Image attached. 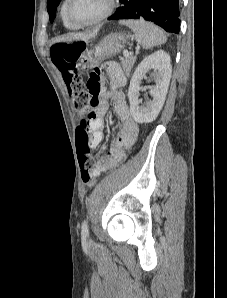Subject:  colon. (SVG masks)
Masks as SVG:
<instances>
[{"label": "colon", "mask_w": 227, "mask_h": 298, "mask_svg": "<svg viewBox=\"0 0 227 298\" xmlns=\"http://www.w3.org/2000/svg\"><path fill=\"white\" fill-rule=\"evenodd\" d=\"M85 50L83 42L62 41L54 44L51 48V56L54 64L62 73L63 80L72 96L73 106L80 116V126L76 131V148L79 155V163L82 168V180L85 184H93L94 177L91 173L95 162L90 156V136L85 129L89 125L90 92H87L86 84L77 76V62Z\"/></svg>", "instance_id": "obj_1"}]
</instances>
